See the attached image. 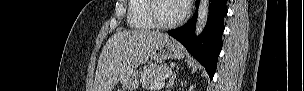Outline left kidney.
I'll return each instance as SVG.
<instances>
[{"label": "left kidney", "mask_w": 304, "mask_h": 91, "mask_svg": "<svg viewBox=\"0 0 304 91\" xmlns=\"http://www.w3.org/2000/svg\"><path fill=\"white\" fill-rule=\"evenodd\" d=\"M193 88H194V86H191V87H190V89H189V91H192V90H193Z\"/></svg>", "instance_id": "obj_1"}]
</instances>
